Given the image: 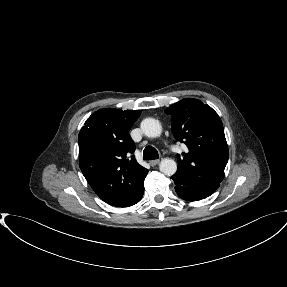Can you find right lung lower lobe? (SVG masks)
<instances>
[{
    "label": "right lung lower lobe",
    "mask_w": 287,
    "mask_h": 287,
    "mask_svg": "<svg viewBox=\"0 0 287 287\" xmlns=\"http://www.w3.org/2000/svg\"><path fill=\"white\" fill-rule=\"evenodd\" d=\"M143 193H144V187H143V189L138 193L136 199L134 200V202L131 203V205H134V204H136L137 202H139V201L141 200L142 196H143ZM131 205H130V206H131Z\"/></svg>",
    "instance_id": "98d812e1"
}]
</instances>
